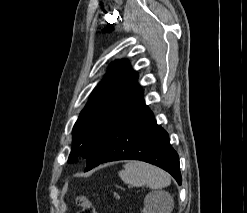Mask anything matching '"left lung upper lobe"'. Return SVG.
Wrapping results in <instances>:
<instances>
[{
    "label": "left lung upper lobe",
    "instance_id": "5c2ea615",
    "mask_svg": "<svg viewBox=\"0 0 247 213\" xmlns=\"http://www.w3.org/2000/svg\"><path fill=\"white\" fill-rule=\"evenodd\" d=\"M137 79L138 74L130 68L128 61L117 60L110 64L73 127L69 163L75 162L78 156L87 158L99 137L142 94Z\"/></svg>",
    "mask_w": 247,
    "mask_h": 213
}]
</instances>
